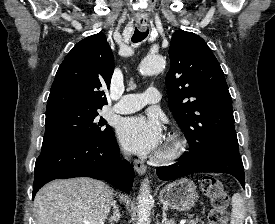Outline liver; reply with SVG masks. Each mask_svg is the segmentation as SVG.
Wrapping results in <instances>:
<instances>
[{"mask_svg":"<svg viewBox=\"0 0 275 224\" xmlns=\"http://www.w3.org/2000/svg\"><path fill=\"white\" fill-rule=\"evenodd\" d=\"M113 196L108 185L91 178L52 181L35 196L37 224H104Z\"/></svg>","mask_w":275,"mask_h":224,"instance_id":"6515ba94","label":"liver"}]
</instances>
